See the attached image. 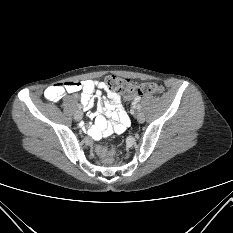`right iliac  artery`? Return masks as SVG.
<instances>
[{
  "mask_svg": "<svg viewBox=\"0 0 233 233\" xmlns=\"http://www.w3.org/2000/svg\"><path fill=\"white\" fill-rule=\"evenodd\" d=\"M78 108L81 109L82 108L81 105H79Z\"/></svg>",
  "mask_w": 233,
  "mask_h": 233,
  "instance_id": "right-iliac-artery-1",
  "label": "right iliac artery"
}]
</instances>
